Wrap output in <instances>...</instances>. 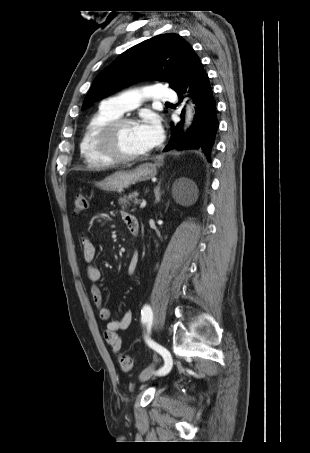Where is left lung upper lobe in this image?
Here are the masks:
<instances>
[{
  "label": "left lung upper lobe",
  "mask_w": 310,
  "mask_h": 453,
  "mask_svg": "<svg viewBox=\"0 0 310 453\" xmlns=\"http://www.w3.org/2000/svg\"><path fill=\"white\" fill-rule=\"evenodd\" d=\"M193 52L190 44L175 33L157 35L133 46L98 74L82 108L141 79L166 80L174 89Z\"/></svg>",
  "instance_id": "1"
}]
</instances>
